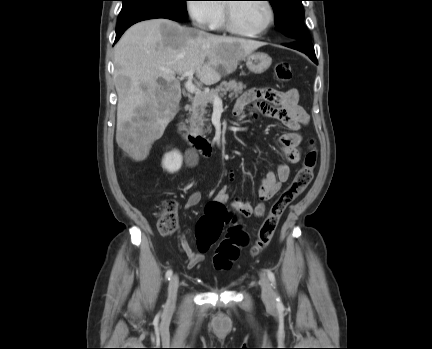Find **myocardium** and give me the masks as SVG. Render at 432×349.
Here are the masks:
<instances>
[{
	"mask_svg": "<svg viewBox=\"0 0 432 349\" xmlns=\"http://www.w3.org/2000/svg\"><path fill=\"white\" fill-rule=\"evenodd\" d=\"M261 2L265 3V5L267 6L268 11H269V19H268L266 25L262 29H260L258 31H252V32L239 29L234 22L233 3L232 2H226V4H225V27H226V29L235 35L244 36V37H252V38L262 37L265 34H267V32L270 30V28L273 26V24L275 22L276 14H275L274 6L270 0H262Z\"/></svg>",
	"mask_w": 432,
	"mask_h": 349,
	"instance_id": "obj_1",
	"label": "myocardium"
}]
</instances>
